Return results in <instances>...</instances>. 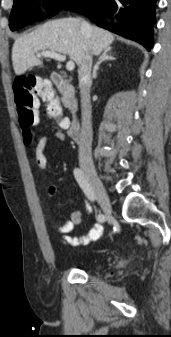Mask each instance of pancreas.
<instances>
[{
  "instance_id": "cf45deb5",
  "label": "pancreas",
  "mask_w": 171,
  "mask_h": 337,
  "mask_svg": "<svg viewBox=\"0 0 171 337\" xmlns=\"http://www.w3.org/2000/svg\"><path fill=\"white\" fill-rule=\"evenodd\" d=\"M62 101H63V103L65 104V106H67V107L70 108L69 101H68V98H67V97H63Z\"/></svg>"
}]
</instances>
